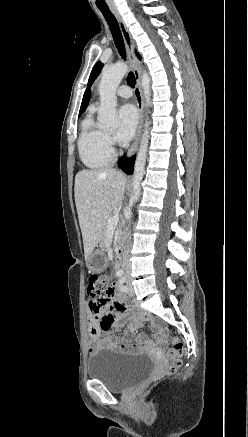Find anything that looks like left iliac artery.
<instances>
[{"mask_svg": "<svg viewBox=\"0 0 248 437\" xmlns=\"http://www.w3.org/2000/svg\"><path fill=\"white\" fill-rule=\"evenodd\" d=\"M124 282H125V277H121L119 280V287L121 291L127 292L128 288L127 286L124 285Z\"/></svg>", "mask_w": 248, "mask_h": 437, "instance_id": "1", "label": "left iliac artery"}]
</instances>
